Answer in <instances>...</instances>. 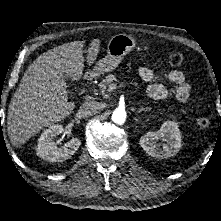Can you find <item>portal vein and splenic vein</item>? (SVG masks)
<instances>
[{"label": "portal vein and splenic vein", "instance_id": "1", "mask_svg": "<svg viewBox=\"0 0 221 221\" xmlns=\"http://www.w3.org/2000/svg\"><path fill=\"white\" fill-rule=\"evenodd\" d=\"M113 88H114V86H111V87H110V89H113Z\"/></svg>", "mask_w": 221, "mask_h": 221}]
</instances>
